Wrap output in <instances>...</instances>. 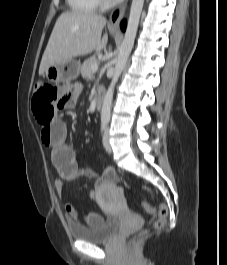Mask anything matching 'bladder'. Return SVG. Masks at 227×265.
Segmentation results:
<instances>
[{
	"mask_svg": "<svg viewBox=\"0 0 227 265\" xmlns=\"http://www.w3.org/2000/svg\"><path fill=\"white\" fill-rule=\"evenodd\" d=\"M118 228V220L115 217L103 219L96 225L70 224L69 232L73 239L91 243H100L110 239Z\"/></svg>",
	"mask_w": 227,
	"mask_h": 265,
	"instance_id": "obj_1",
	"label": "bladder"
}]
</instances>
